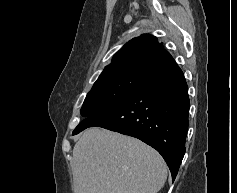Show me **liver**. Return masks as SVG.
Segmentation results:
<instances>
[{
	"mask_svg": "<svg viewBox=\"0 0 237 193\" xmlns=\"http://www.w3.org/2000/svg\"><path fill=\"white\" fill-rule=\"evenodd\" d=\"M74 193H157L167 179L160 154L142 141L102 128L73 148Z\"/></svg>",
	"mask_w": 237,
	"mask_h": 193,
	"instance_id": "1",
	"label": "liver"
}]
</instances>
